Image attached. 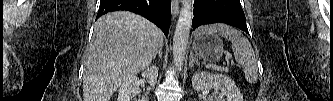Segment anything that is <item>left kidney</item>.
<instances>
[{
  "mask_svg": "<svg viewBox=\"0 0 333 101\" xmlns=\"http://www.w3.org/2000/svg\"><path fill=\"white\" fill-rule=\"evenodd\" d=\"M192 87L197 91L214 89L218 92L220 90L222 97L225 96L223 101H243V96L235 82L226 75L205 71L196 72L192 77Z\"/></svg>",
  "mask_w": 333,
  "mask_h": 101,
  "instance_id": "obj_1",
  "label": "left kidney"
}]
</instances>
